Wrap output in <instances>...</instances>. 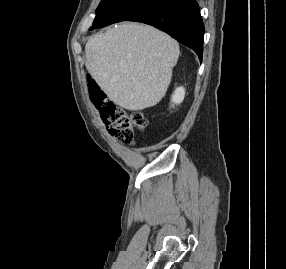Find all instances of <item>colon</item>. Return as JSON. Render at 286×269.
Returning <instances> with one entry per match:
<instances>
[{
	"label": "colon",
	"mask_w": 286,
	"mask_h": 269,
	"mask_svg": "<svg viewBox=\"0 0 286 269\" xmlns=\"http://www.w3.org/2000/svg\"><path fill=\"white\" fill-rule=\"evenodd\" d=\"M90 100L99 111L104 125L108 128L111 136L118 140L131 143L134 135V127L144 129L147 119L139 112L128 113L115 105L102 89L97 85L90 86Z\"/></svg>",
	"instance_id": "colon-1"
}]
</instances>
